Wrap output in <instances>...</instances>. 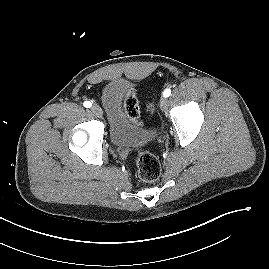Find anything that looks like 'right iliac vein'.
Here are the masks:
<instances>
[{
    "label": "right iliac vein",
    "mask_w": 269,
    "mask_h": 269,
    "mask_svg": "<svg viewBox=\"0 0 269 269\" xmlns=\"http://www.w3.org/2000/svg\"><path fill=\"white\" fill-rule=\"evenodd\" d=\"M91 110L96 116H98V117L103 116V111L98 105H93Z\"/></svg>",
    "instance_id": "obj_1"
}]
</instances>
